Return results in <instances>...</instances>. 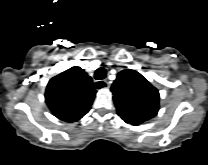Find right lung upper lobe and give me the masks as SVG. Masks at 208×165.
I'll list each match as a JSON object with an SVG mask.
<instances>
[{
	"label": "right lung upper lobe",
	"mask_w": 208,
	"mask_h": 165,
	"mask_svg": "<svg viewBox=\"0 0 208 165\" xmlns=\"http://www.w3.org/2000/svg\"><path fill=\"white\" fill-rule=\"evenodd\" d=\"M95 94L91 77L82 68L72 67L49 80L45 101L55 117L72 123L88 113Z\"/></svg>",
	"instance_id": "1"
}]
</instances>
